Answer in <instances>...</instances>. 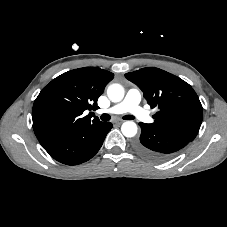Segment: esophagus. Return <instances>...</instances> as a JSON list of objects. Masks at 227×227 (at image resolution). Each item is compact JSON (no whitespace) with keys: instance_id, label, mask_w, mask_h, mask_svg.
<instances>
[{"instance_id":"1","label":"esophagus","mask_w":227,"mask_h":227,"mask_svg":"<svg viewBox=\"0 0 227 227\" xmlns=\"http://www.w3.org/2000/svg\"><path fill=\"white\" fill-rule=\"evenodd\" d=\"M123 122H124L123 120H116L115 121V123L118 124V125L122 124Z\"/></svg>"}]
</instances>
